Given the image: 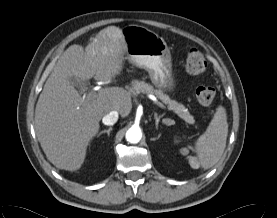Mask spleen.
Returning <instances> with one entry per match:
<instances>
[{
  "mask_svg": "<svg viewBox=\"0 0 277 218\" xmlns=\"http://www.w3.org/2000/svg\"><path fill=\"white\" fill-rule=\"evenodd\" d=\"M227 135L226 109L223 106H219L206 131L195 142L197 157L190 158L191 166L204 169L213 167L224 153ZM181 153L187 154L188 150L183 148Z\"/></svg>",
  "mask_w": 277,
  "mask_h": 218,
  "instance_id": "3e777b00",
  "label": "spleen"
}]
</instances>
